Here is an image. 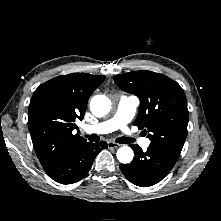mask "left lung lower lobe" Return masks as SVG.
Returning a JSON list of instances; mask_svg holds the SVG:
<instances>
[{
    "mask_svg": "<svg viewBox=\"0 0 221 221\" xmlns=\"http://www.w3.org/2000/svg\"><path fill=\"white\" fill-rule=\"evenodd\" d=\"M135 157L130 164H121L124 176L140 187L152 186L161 181L174 167L178 156L167 151L149 147L143 152L138 145H130Z\"/></svg>",
    "mask_w": 221,
    "mask_h": 221,
    "instance_id": "left-lung-lower-lobe-1",
    "label": "left lung lower lobe"
}]
</instances>
